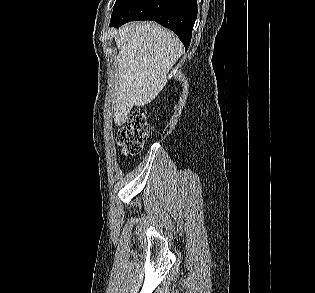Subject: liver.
Segmentation results:
<instances>
[{
    "label": "liver",
    "mask_w": 315,
    "mask_h": 293,
    "mask_svg": "<svg viewBox=\"0 0 315 293\" xmlns=\"http://www.w3.org/2000/svg\"><path fill=\"white\" fill-rule=\"evenodd\" d=\"M118 88L114 122L121 126L133 106L150 103L167 84V74L183 53L170 30L152 22L128 23L118 30Z\"/></svg>",
    "instance_id": "6515ba94"
}]
</instances>
